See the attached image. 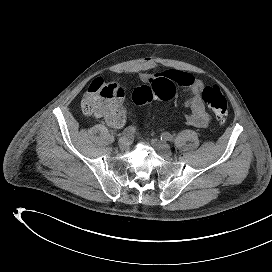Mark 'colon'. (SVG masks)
<instances>
[{
  "instance_id": "colon-1",
  "label": "colon",
  "mask_w": 272,
  "mask_h": 272,
  "mask_svg": "<svg viewBox=\"0 0 272 272\" xmlns=\"http://www.w3.org/2000/svg\"><path fill=\"white\" fill-rule=\"evenodd\" d=\"M176 88V84L167 78H155L147 85L136 88L133 100L137 104H145L155 99L168 100L175 95ZM200 95L219 124H224L228 116V102L219 87L216 85L203 86ZM122 97L123 90L117 84L97 78L89 85L81 108L86 115L109 119L117 114L119 100Z\"/></svg>"
}]
</instances>
